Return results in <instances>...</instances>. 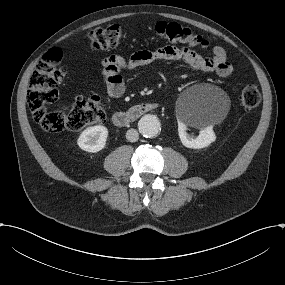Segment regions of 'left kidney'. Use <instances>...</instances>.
Here are the masks:
<instances>
[{"mask_svg": "<svg viewBox=\"0 0 285 285\" xmlns=\"http://www.w3.org/2000/svg\"><path fill=\"white\" fill-rule=\"evenodd\" d=\"M182 144L187 148L201 149L209 146L216 140L212 126L202 129L196 138L191 137L186 130L179 132Z\"/></svg>", "mask_w": 285, "mask_h": 285, "instance_id": "left-kidney-1", "label": "left kidney"}]
</instances>
